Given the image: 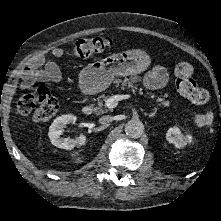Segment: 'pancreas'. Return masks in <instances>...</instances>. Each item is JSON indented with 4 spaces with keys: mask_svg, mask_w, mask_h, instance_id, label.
Returning <instances> with one entry per match:
<instances>
[{
    "mask_svg": "<svg viewBox=\"0 0 221 221\" xmlns=\"http://www.w3.org/2000/svg\"><path fill=\"white\" fill-rule=\"evenodd\" d=\"M140 81V77L139 76H131L129 79L128 78H125L123 81L118 79L116 80V83H117V86H119V84L121 83V89H124L125 87L131 89L133 92L137 89V85L136 83ZM140 92H142V90L140 89L139 90ZM108 99L107 96L105 95H101L99 98H98V103H97V106L93 109L94 110V113L96 115H101V114H104V113H107L108 110L107 109H104V103L103 101L106 102V100ZM156 102L158 105H162V106H168L169 105V101L165 100L164 98L162 97H157L156 98Z\"/></svg>",
    "mask_w": 221,
    "mask_h": 221,
    "instance_id": "pancreas-1",
    "label": "pancreas"
}]
</instances>
